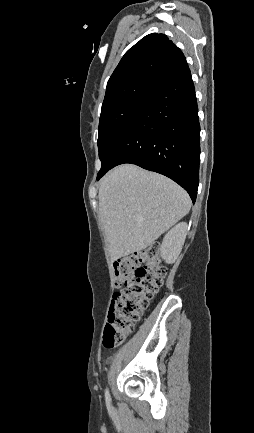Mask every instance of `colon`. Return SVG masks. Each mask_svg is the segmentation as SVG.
Returning a JSON list of instances; mask_svg holds the SVG:
<instances>
[{
    "mask_svg": "<svg viewBox=\"0 0 254 433\" xmlns=\"http://www.w3.org/2000/svg\"><path fill=\"white\" fill-rule=\"evenodd\" d=\"M114 269L120 290L114 295L104 331L106 349L119 346L133 330L166 274L155 245L119 259Z\"/></svg>",
    "mask_w": 254,
    "mask_h": 433,
    "instance_id": "obj_1",
    "label": "colon"
}]
</instances>
